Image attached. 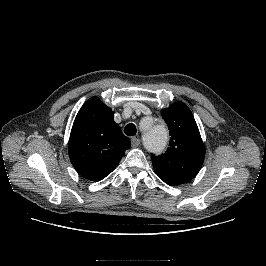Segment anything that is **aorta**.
I'll list each match as a JSON object with an SVG mask.
<instances>
[{"label":"aorta","instance_id":"762f6f07","mask_svg":"<svg viewBox=\"0 0 266 266\" xmlns=\"http://www.w3.org/2000/svg\"><path fill=\"white\" fill-rule=\"evenodd\" d=\"M143 135V145L152 152L162 151L168 142V133L165 126L157 124L154 120Z\"/></svg>","mask_w":266,"mask_h":266}]
</instances>
